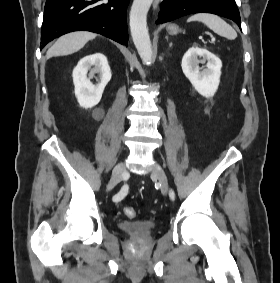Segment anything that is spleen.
<instances>
[{"mask_svg":"<svg viewBox=\"0 0 280 283\" xmlns=\"http://www.w3.org/2000/svg\"><path fill=\"white\" fill-rule=\"evenodd\" d=\"M192 21L202 22L204 25H206L209 29H211L218 35L226 37L230 40H233L237 37L236 31L228 23H226L224 20H222L216 15L208 13H198L192 15L187 20V22Z\"/></svg>","mask_w":280,"mask_h":283,"instance_id":"1","label":"spleen"}]
</instances>
